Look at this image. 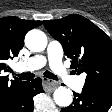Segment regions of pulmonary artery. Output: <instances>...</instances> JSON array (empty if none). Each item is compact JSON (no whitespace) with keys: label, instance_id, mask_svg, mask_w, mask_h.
Returning a JSON list of instances; mask_svg holds the SVG:
<instances>
[{"label":"pulmonary artery","instance_id":"1","mask_svg":"<svg viewBox=\"0 0 112 112\" xmlns=\"http://www.w3.org/2000/svg\"><path fill=\"white\" fill-rule=\"evenodd\" d=\"M63 47L60 42L52 40L49 42L44 55H36L26 61L15 64V69L19 72L37 70L42 68L46 63L56 73L64 83L76 91L83 87V81L80 77L69 75L68 71L62 64Z\"/></svg>","mask_w":112,"mask_h":112}]
</instances>
